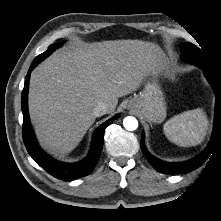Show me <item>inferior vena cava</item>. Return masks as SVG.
<instances>
[{
	"mask_svg": "<svg viewBox=\"0 0 221 221\" xmlns=\"http://www.w3.org/2000/svg\"><path fill=\"white\" fill-rule=\"evenodd\" d=\"M109 112V105L107 103H99L93 111L95 117L103 116Z\"/></svg>",
	"mask_w": 221,
	"mask_h": 221,
	"instance_id": "obj_1",
	"label": "inferior vena cava"
}]
</instances>
